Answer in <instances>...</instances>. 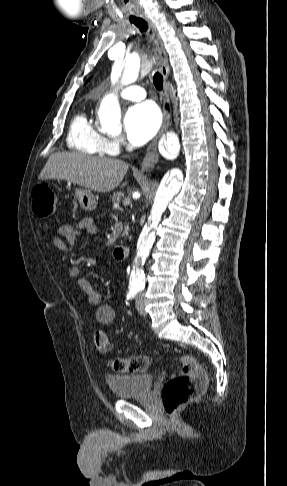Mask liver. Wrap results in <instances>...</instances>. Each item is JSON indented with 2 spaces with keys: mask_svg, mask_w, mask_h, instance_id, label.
<instances>
[{
  "mask_svg": "<svg viewBox=\"0 0 287 486\" xmlns=\"http://www.w3.org/2000/svg\"><path fill=\"white\" fill-rule=\"evenodd\" d=\"M127 170L128 164L118 159L59 152L49 157L38 178L66 180L104 193L118 187ZM126 184L123 183L122 187Z\"/></svg>",
  "mask_w": 287,
  "mask_h": 486,
  "instance_id": "1",
  "label": "liver"
}]
</instances>
